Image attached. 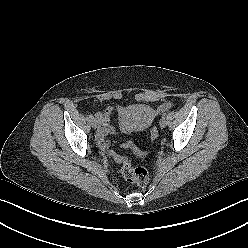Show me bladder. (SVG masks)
<instances>
[{"instance_id":"31cf9c89","label":"bladder","mask_w":248,"mask_h":248,"mask_svg":"<svg viewBox=\"0 0 248 248\" xmlns=\"http://www.w3.org/2000/svg\"><path fill=\"white\" fill-rule=\"evenodd\" d=\"M153 120V110L142 103L129 106L124 111V121L134 131L147 129L153 123Z\"/></svg>"}]
</instances>
